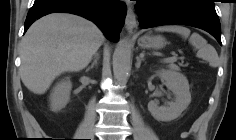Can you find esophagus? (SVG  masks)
I'll return each mask as SVG.
<instances>
[{"label": "esophagus", "instance_id": "obj_1", "mask_svg": "<svg viewBox=\"0 0 236 140\" xmlns=\"http://www.w3.org/2000/svg\"><path fill=\"white\" fill-rule=\"evenodd\" d=\"M125 25L129 33H135L138 29L134 10L129 7L126 14Z\"/></svg>", "mask_w": 236, "mask_h": 140}]
</instances>
